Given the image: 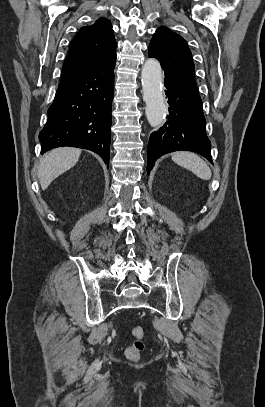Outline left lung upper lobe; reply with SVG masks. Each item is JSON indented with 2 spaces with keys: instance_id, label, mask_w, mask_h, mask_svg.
<instances>
[{
  "instance_id": "1",
  "label": "left lung upper lobe",
  "mask_w": 265,
  "mask_h": 407,
  "mask_svg": "<svg viewBox=\"0 0 265 407\" xmlns=\"http://www.w3.org/2000/svg\"><path fill=\"white\" fill-rule=\"evenodd\" d=\"M148 51L149 57L160 61L165 75L197 90L192 53L181 36L162 26L153 35Z\"/></svg>"
}]
</instances>
